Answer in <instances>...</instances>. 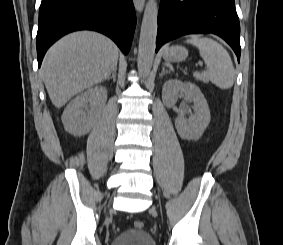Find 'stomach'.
Instances as JSON below:
<instances>
[{"mask_svg": "<svg viewBox=\"0 0 283 245\" xmlns=\"http://www.w3.org/2000/svg\"><path fill=\"white\" fill-rule=\"evenodd\" d=\"M188 51L182 46H171L165 49L163 58L168 62H180L186 59Z\"/></svg>", "mask_w": 283, "mask_h": 245, "instance_id": "0dacf381", "label": "stomach"}]
</instances>
